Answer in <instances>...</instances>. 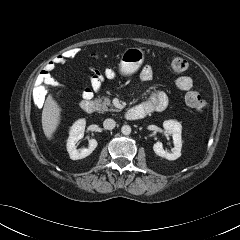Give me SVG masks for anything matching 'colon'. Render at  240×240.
Returning a JSON list of instances; mask_svg holds the SVG:
<instances>
[{
	"instance_id": "1",
	"label": "colon",
	"mask_w": 240,
	"mask_h": 240,
	"mask_svg": "<svg viewBox=\"0 0 240 240\" xmlns=\"http://www.w3.org/2000/svg\"><path fill=\"white\" fill-rule=\"evenodd\" d=\"M81 56L80 48H71L60 53L58 58L65 64L67 62L77 60ZM189 67L188 62L181 57H174L170 62V68L175 73L185 72ZM45 97V91L40 89L37 91L36 98L39 101H43ZM185 103L188 107L194 109L197 112H204L207 109V101L204 100L200 94L196 91H189L185 95Z\"/></svg>"
}]
</instances>
